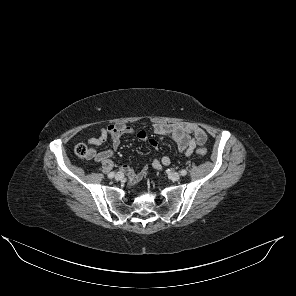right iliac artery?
Wrapping results in <instances>:
<instances>
[{
    "label": "right iliac artery",
    "instance_id": "obj_1",
    "mask_svg": "<svg viewBox=\"0 0 296 296\" xmlns=\"http://www.w3.org/2000/svg\"><path fill=\"white\" fill-rule=\"evenodd\" d=\"M115 176V173L114 172H111L108 174V178H113Z\"/></svg>",
    "mask_w": 296,
    "mask_h": 296
}]
</instances>
